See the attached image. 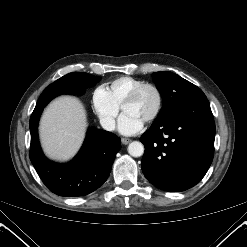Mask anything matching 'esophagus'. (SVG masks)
Listing matches in <instances>:
<instances>
[{
    "label": "esophagus",
    "instance_id": "esophagus-1",
    "mask_svg": "<svg viewBox=\"0 0 247 247\" xmlns=\"http://www.w3.org/2000/svg\"><path fill=\"white\" fill-rule=\"evenodd\" d=\"M121 142H122V144L127 145L128 143L131 142V140L128 139V138H122V139H121Z\"/></svg>",
    "mask_w": 247,
    "mask_h": 247
}]
</instances>
